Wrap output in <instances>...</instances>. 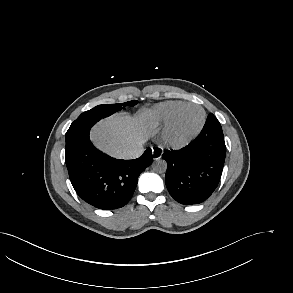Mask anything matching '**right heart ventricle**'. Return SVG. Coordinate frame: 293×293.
<instances>
[{"label":"right heart ventricle","instance_id":"e07e8e85","mask_svg":"<svg viewBox=\"0 0 293 293\" xmlns=\"http://www.w3.org/2000/svg\"><path fill=\"white\" fill-rule=\"evenodd\" d=\"M185 102L182 101H166L159 103L153 109V117L157 124L165 125L168 123L173 112Z\"/></svg>","mask_w":293,"mask_h":293}]
</instances>
